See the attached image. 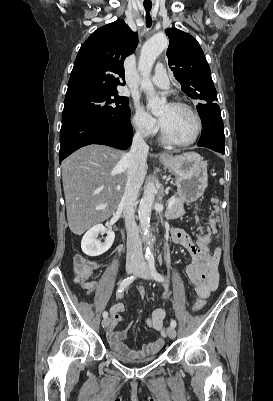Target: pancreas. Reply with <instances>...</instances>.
Instances as JSON below:
<instances>
[{
  "mask_svg": "<svg viewBox=\"0 0 273 401\" xmlns=\"http://www.w3.org/2000/svg\"><path fill=\"white\" fill-rule=\"evenodd\" d=\"M171 199L169 198V201ZM183 215H185L183 201H181V198H175L174 205L168 207L165 217L166 219H178V217H183Z\"/></svg>",
  "mask_w": 273,
  "mask_h": 401,
  "instance_id": "cf45deb5",
  "label": "pancreas"
}]
</instances>
